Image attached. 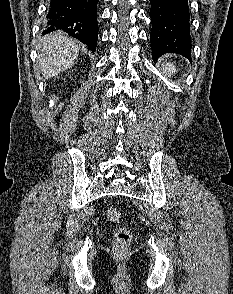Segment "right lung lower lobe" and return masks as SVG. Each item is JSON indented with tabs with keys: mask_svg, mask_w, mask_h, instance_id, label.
Returning <instances> with one entry per match:
<instances>
[{
	"mask_svg": "<svg viewBox=\"0 0 233 294\" xmlns=\"http://www.w3.org/2000/svg\"><path fill=\"white\" fill-rule=\"evenodd\" d=\"M98 0H51L43 33L62 30L95 51Z\"/></svg>",
	"mask_w": 233,
	"mask_h": 294,
	"instance_id": "1",
	"label": "right lung lower lobe"
}]
</instances>
